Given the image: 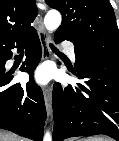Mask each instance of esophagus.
<instances>
[{"label": "esophagus", "mask_w": 119, "mask_h": 141, "mask_svg": "<svg viewBox=\"0 0 119 141\" xmlns=\"http://www.w3.org/2000/svg\"><path fill=\"white\" fill-rule=\"evenodd\" d=\"M37 31L42 48V60L49 59L51 57V50L49 48L48 37L46 35L42 17L40 15L38 17ZM44 100H45L47 116L50 117L52 115V97H51V89L49 87H46L44 89Z\"/></svg>", "instance_id": "esophagus-1"}]
</instances>
